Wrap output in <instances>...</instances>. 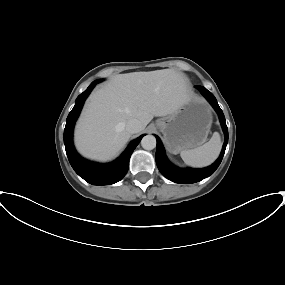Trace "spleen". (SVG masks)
Segmentation results:
<instances>
[{
  "label": "spleen",
  "mask_w": 285,
  "mask_h": 285,
  "mask_svg": "<svg viewBox=\"0 0 285 285\" xmlns=\"http://www.w3.org/2000/svg\"><path fill=\"white\" fill-rule=\"evenodd\" d=\"M221 139L219 133H213L211 139L204 145L191 150H183L180 153L182 160L192 167H205L213 163L221 151Z\"/></svg>",
  "instance_id": "3e777b00"
}]
</instances>
